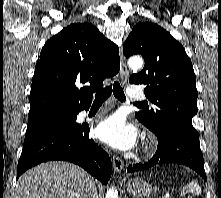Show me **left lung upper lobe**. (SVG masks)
Instances as JSON below:
<instances>
[{
  "mask_svg": "<svg viewBox=\"0 0 221 198\" xmlns=\"http://www.w3.org/2000/svg\"><path fill=\"white\" fill-rule=\"evenodd\" d=\"M126 57L143 56L144 69L130 76L131 84H145V95L155 109L136 112V118L154 133L198 135L192 125L197 114L196 78L183 46L157 24L138 23L123 46Z\"/></svg>",
  "mask_w": 221,
  "mask_h": 198,
  "instance_id": "1",
  "label": "left lung upper lobe"
}]
</instances>
